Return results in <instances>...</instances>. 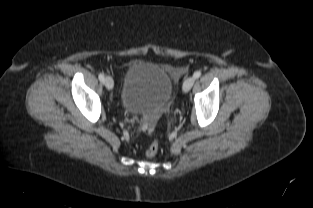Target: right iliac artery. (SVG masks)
Masks as SVG:
<instances>
[{"mask_svg":"<svg viewBox=\"0 0 313 208\" xmlns=\"http://www.w3.org/2000/svg\"><path fill=\"white\" fill-rule=\"evenodd\" d=\"M98 78H99V80L102 82V83H104V74L103 73H99V75H98Z\"/></svg>","mask_w":313,"mask_h":208,"instance_id":"1","label":"right iliac artery"}]
</instances>
